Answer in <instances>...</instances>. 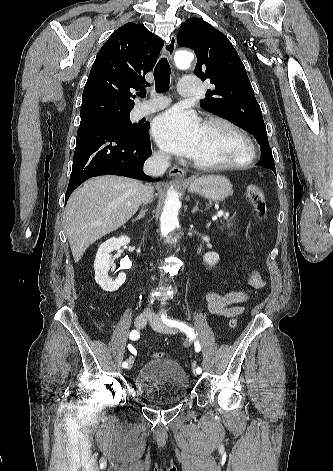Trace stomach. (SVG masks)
I'll return each instance as SVG.
<instances>
[{
	"instance_id": "1",
	"label": "stomach",
	"mask_w": 333,
	"mask_h": 471,
	"mask_svg": "<svg viewBox=\"0 0 333 471\" xmlns=\"http://www.w3.org/2000/svg\"><path fill=\"white\" fill-rule=\"evenodd\" d=\"M187 187L190 193L214 202L223 201L232 192L230 181L221 175H204L191 181Z\"/></svg>"
}]
</instances>
